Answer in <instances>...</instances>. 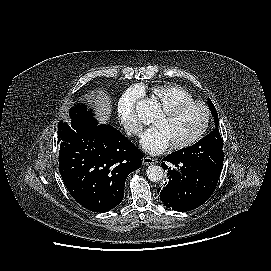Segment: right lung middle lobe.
Wrapping results in <instances>:
<instances>
[{
	"label": "right lung middle lobe",
	"mask_w": 271,
	"mask_h": 271,
	"mask_svg": "<svg viewBox=\"0 0 271 271\" xmlns=\"http://www.w3.org/2000/svg\"><path fill=\"white\" fill-rule=\"evenodd\" d=\"M70 116L76 120H91L94 119L92 111H87L83 104H78L70 110Z\"/></svg>",
	"instance_id": "obj_1"
}]
</instances>
